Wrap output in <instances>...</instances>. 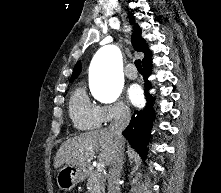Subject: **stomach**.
<instances>
[{
	"label": "stomach",
	"instance_id": "1",
	"mask_svg": "<svg viewBox=\"0 0 221 193\" xmlns=\"http://www.w3.org/2000/svg\"><path fill=\"white\" fill-rule=\"evenodd\" d=\"M88 174L85 166L66 164L57 173V184L61 190L70 191L83 181Z\"/></svg>",
	"mask_w": 221,
	"mask_h": 193
}]
</instances>
